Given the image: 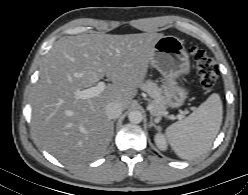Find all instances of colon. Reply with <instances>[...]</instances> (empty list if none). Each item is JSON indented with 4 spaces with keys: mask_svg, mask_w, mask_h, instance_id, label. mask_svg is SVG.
Instances as JSON below:
<instances>
[{
    "mask_svg": "<svg viewBox=\"0 0 248 195\" xmlns=\"http://www.w3.org/2000/svg\"><path fill=\"white\" fill-rule=\"evenodd\" d=\"M195 69L204 89H212L218 79V67L212 57L198 47L190 49Z\"/></svg>",
    "mask_w": 248,
    "mask_h": 195,
    "instance_id": "colon-1",
    "label": "colon"
}]
</instances>
